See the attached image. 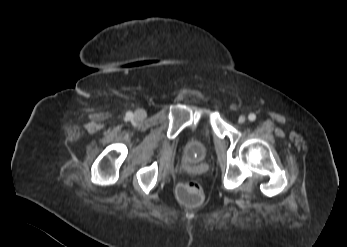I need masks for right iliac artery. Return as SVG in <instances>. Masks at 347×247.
Segmentation results:
<instances>
[{
	"label": "right iliac artery",
	"instance_id": "right-iliac-artery-1",
	"mask_svg": "<svg viewBox=\"0 0 347 247\" xmlns=\"http://www.w3.org/2000/svg\"><path fill=\"white\" fill-rule=\"evenodd\" d=\"M133 117V113L132 112H127L126 113V118L127 119H131Z\"/></svg>",
	"mask_w": 347,
	"mask_h": 247
}]
</instances>
